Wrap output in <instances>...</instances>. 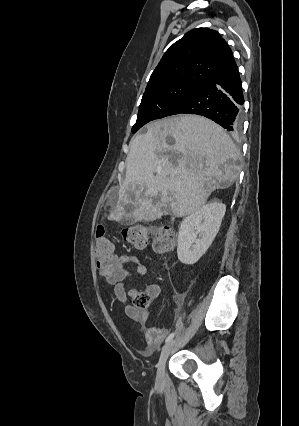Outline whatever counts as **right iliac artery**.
Segmentation results:
<instances>
[{"label": "right iliac artery", "instance_id": "82829eb1", "mask_svg": "<svg viewBox=\"0 0 299 426\" xmlns=\"http://www.w3.org/2000/svg\"><path fill=\"white\" fill-rule=\"evenodd\" d=\"M175 333H171L168 335V337L165 340V343L169 342L173 337H174Z\"/></svg>", "mask_w": 299, "mask_h": 426}]
</instances>
